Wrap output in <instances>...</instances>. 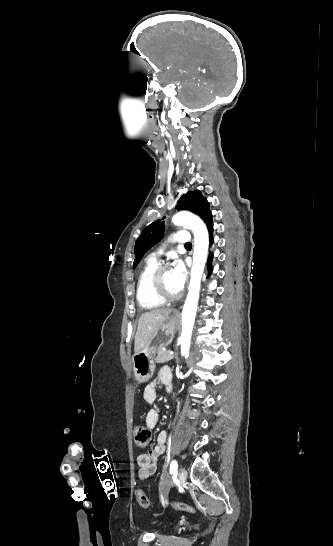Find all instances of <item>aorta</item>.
Here are the masks:
<instances>
[{
    "label": "aorta",
    "mask_w": 333,
    "mask_h": 546,
    "mask_svg": "<svg viewBox=\"0 0 333 546\" xmlns=\"http://www.w3.org/2000/svg\"><path fill=\"white\" fill-rule=\"evenodd\" d=\"M172 222L175 226L191 229L195 237L189 292L182 311V333L179 339L181 355L187 359L199 299L201 277L208 254L209 236L204 222L192 213L179 212L173 216Z\"/></svg>",
    "instance_id": "762f6f07"
}]
</instances>
